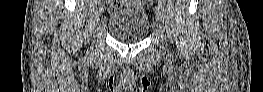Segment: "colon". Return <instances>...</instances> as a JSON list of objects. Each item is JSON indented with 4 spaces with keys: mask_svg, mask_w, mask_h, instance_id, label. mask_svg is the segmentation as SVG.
I'll list each match as a JSON object with an SVG mask.
<instances>
[{
    "mask_svg": "<svg viewBox=\"0 0 263 92\" xmlns=\"http://www.w3.org/2000/svg\"><path fill=\"white\" fill-rule=\"evenodd\" d=\"M126 2H127V1H126ZM137 2H138V1H137ZM149 2H150V1H149ZM138 4H140V3L138 2ZM111 9L114 10V9H116V7H111Z\"/></svg>",
    "mask_w": 263,
    "mask_h": 92,
    "instance_id": "1",
    "label": "colon"
}]
</instances>
